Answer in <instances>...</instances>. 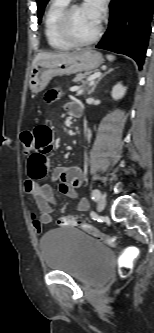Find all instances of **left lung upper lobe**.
<instances>
[{
    "instance_id": "1",
    "label": "left lung upper lobe",
    "mask_w": 154,
    "mask_h": 333,
    "mask_svg": "<svg viewBox=\"0 0 154 333\" xmlns=\"http://www.w3.org/2000/svg\"><path fill=\"white\" fill-rule=\"evenodd\" d=\"M49 0H37V6H38V23L41 22L42 15L44 13V8Z\"/></svg>"
}]
</instances>
